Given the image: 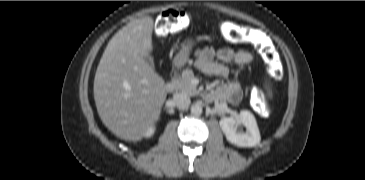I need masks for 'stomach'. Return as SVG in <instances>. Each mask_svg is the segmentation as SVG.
I'll list each match as a JSON object with an SVG mask.
<instances>
[{
    "mask_svg": "<svg viewBox=\"0 0 365 180\" xmlns=\"http://www.w3.org/2000/svg\"><path fill=\"white\" fill-rule=\"evenodd\" d=\"M195 44L196 43L193 39H187L184 42L181 50L175 55L173 59V64L176 67H182L187 63L189 55L192 49L194 48Z\"/></svg>",
    "mask_w": 365,
    "mask_h": 180,
    "instance_id": "0dacf381",
    "label": "stomach"
}]
</instances>
